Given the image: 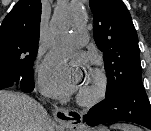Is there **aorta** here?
I'll return each mask as SVG.
<instances>
[{"mask_svg":"<svg viewBox=\"0 0 151 131\" xmlns=\"http://www.w3.org/2000/svg\"><path fill=\"white\" fill-rule=\"evenodd\" d=\"M58 25L61 29L69 30L75 27L76 21L70 17H62L59 20Z\"/></svg>","mask_w":151,"mask_h":131,"instance_id":"obj_1","label":"aorta"}]
</instances>
